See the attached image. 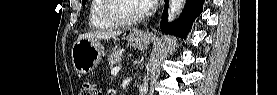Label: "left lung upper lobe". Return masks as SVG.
<instances>
[{
    "mask_svg": "<svg viewBox=\"0 0 277 95\" xmlns=\"http://www.w3.org/2000/svg\"><path fill=\"white\" fill-rule=\"evenodd\" d=\"M87 0H82V5L84 6Z\"/></svg>",
    "mask_w": 277,
    "mask_h": 95,
    "instance_id": "1",
    "label": "left lung upper lobe"
}]
</instances>
